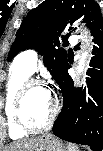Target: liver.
<instances>
[{"label": "liver", "instance_id": "obj_1", "mask_svg": "<svg viewBox=\"0 0 103 151\" xmlns=\"http://www.w3.org/2000/svg\"><path fill=\"white\" fill-rule=\"evenodd\" d=\"M37 139L38 137L14 143L7 149V151H29Z\"/></svg>", "mask_w": 103, "mask_h": 151}]
</instances>
